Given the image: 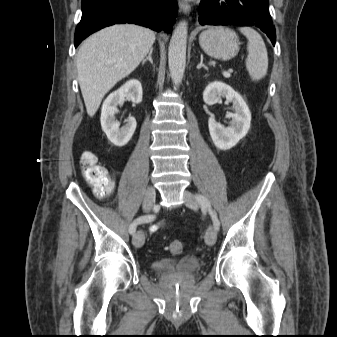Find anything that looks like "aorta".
<instances>
[{"label":"aorta","mask_w":337,"mask_h":337,"mask_svg":"<svg viewBox=\"0 0 337 337\" xmlns=\"http://www.w3.org/2000/svg\"><path fill=\"white\" fill-rule=\"evenodd\" d=\"M188 24L181 21L173 31L169 49L168 65L173 84L179 86L186 66V46H187Z\"/></svg>","instance_id":"obj_1"}]
</instances>
